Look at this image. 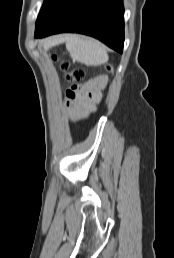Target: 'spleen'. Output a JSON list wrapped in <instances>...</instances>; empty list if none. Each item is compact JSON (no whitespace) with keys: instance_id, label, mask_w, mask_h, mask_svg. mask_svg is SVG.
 <instances>
[{"instance_id":"3e777b00","label":"spleen","mask_w":174,"mask_h":258,"mask_svg":"<svg viewBox=\"0 0 174 258\" xmlns=\"http://www.w3.org/2000/svg\"><path fill=\"white\" fill-rule=\"evenodd\" d=\"M66 48L73 60L86 65H100L108 61L105 47L92 38L71 35L67 38Z\"/></svg>"}]
</instances>
